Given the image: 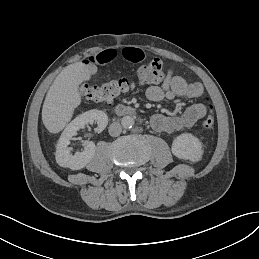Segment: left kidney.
I'll list each match as a JSON object with an SVG mask.
<instances>
[{
  "instance_id": "obj_1",
  "label": "left kidney",
  "mask_w": 259,
  "mask_h": 259,
  "mask_svg": "<svg viewBox=\"0 0 259 259\" xmlns=\"http://www.w3.org/2000/svg\"><path fill=\"white\" fill-rule=\"evenodd\" d=\"M171 152L175 157L191 163L201 161L204 155L202 142L191 133H182L175 137Z\"/></svg>"
}]
</instances>
